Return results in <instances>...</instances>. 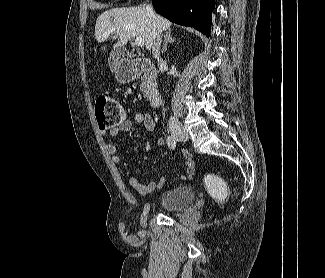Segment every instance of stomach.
I'll return each instance as SVG.
<instances>
[{
	"label": "stomach",
	"mask_w": 325,
	"mask_h": 278,
	"mask_svg": "<svg viewBox=\"0 0 325 278\" xmlns=\"http://www.w3.org/2000/svg\"><path fill=\"white\" fill-rule=\"evenodd\" d=\"M135 69L130 65L119 64L116 69V79L119 83L125 84L134 80Z\"/></svg>",
	"instance_id": "obj_1"
}]
</instances>
